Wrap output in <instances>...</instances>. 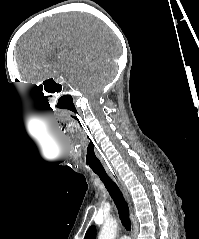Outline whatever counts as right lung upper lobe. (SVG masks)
<instances>
[{
    "mask_svg": "<svg viewBox=\"0 0 199 239\" xmlns=\"http://www.w3.org/2000/svg\"><path fill=\"white\" fill-rule=\"evenodd\" d=\"M96 238V228L95 226H91L85 234L84 239H95Z\"/></svg>",
    "mask_w": 199,
    "mask_h": 239,
    "instance_id": "right-lung-upper-lobe-1",
    "label": "right lung upper lobe"
}]
</instances>
